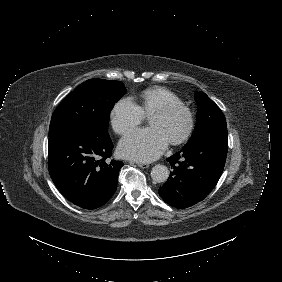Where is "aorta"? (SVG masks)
Here are the masks:
<instances>
[{
	"mask_svg": "<svg viewBox=\"0 0 282 282\" xmlns=\"http://www.w3.org/2000/svg\"><path fill=\"white\" fill-rule=\"evenodd\" d=\"M151 177L154 181L162 183L168 179L169 170L165 165L157 164L151 170Z\"/></svg>",
	"mask_w": 282,
	"mask_h": 282,
	"instance_id": "obj_1",
	"label": "aorta"
}]
</instances>
